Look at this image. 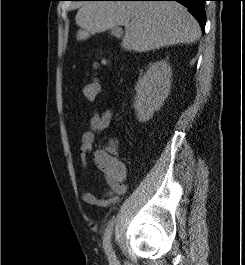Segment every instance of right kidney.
Masks as SVG:
<instances>
[{"instance_id":"obj_1","label":"right kidney","mask_w":245,"mask_h":265,"mask_svg":"<svg viewBox=\"0 0 245 265\" xmlns=\"http://www.w3.org/2000/svg\"><path fill=\"white\" fill-rule=\"evenodd\" d=\"M172 70L165 60L153 63L139 78L134 109L139 122L148 121L160 109L170 92Z\"/></svg>"}]
</instances>
